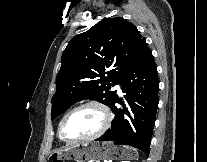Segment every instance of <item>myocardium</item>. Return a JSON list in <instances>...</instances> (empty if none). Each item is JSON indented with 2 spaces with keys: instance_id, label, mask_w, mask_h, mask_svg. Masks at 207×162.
I'll return each instance as SVG.
<instances>
[{
  "instance_id": "f54148a6",
  "label": "myocardium",
  "mask_w": 207,
  "mask_h": 162,
  "mask_svg": "<svg viewBox=\"0 0 207 162\" xmlns=\"http://www.w3.org/2000/svg\"><path fill=\"white\" fill-rule=\"evenodd\" d=\"M87 107L97 108L101 112L102 117H103V122H102L100 129L97 132L89 136L83 137V138L67 139L64 135V128H65L66 121L76 111L83 109V108H87ZM111 121H112V113H111L110 108L105 103L98 101V100L86 101L74 107L63 117L59 125V136L61 140L66 143H79V142L93 140V139L100 137L102 134H104L107 131V129L110 127Z\"/></svg>"
}]
</instances>
